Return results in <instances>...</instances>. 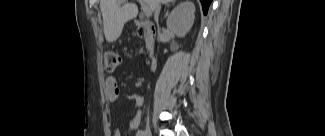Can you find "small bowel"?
<instances>
[{
  "label": "small bowel",
  "mask_w": 325,
  "mask_h": 136,
  "mask_svg": "<svg viewBox=\"0 0 325 136\" xmlns=\"http://www.w3.org/2000/svg\"><path fill=\"white\" fill-rule=\"evenodd\" d=\"M105 95L106 100L109 103H115L120 95V90L117 84V81L114 77L110 76L105 81ZM127 99L132 101L136 107V112L132 119L129 122L128 128L129 130L137 129L142 120V112L140 110L141 106L143 105V97L140 94L133 93L126 95ZM122 133L119 130L114 131L113 136H121Z\"/></svg>",
  "instance_id": "small-bowel-1"
}]
</instances>
